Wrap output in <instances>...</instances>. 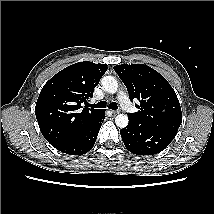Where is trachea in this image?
<instances>
[{
    "label": "trachea",
    "instance_id": "1",
    "mask_svg": "<svg viewBox=\"0 0 214 214\" xmlns=\"http://www.w3.org/2000/svg\"><path fill=\"white\" fill-rule=\"evenodd\" d=\"M90 107H92V108H105L106 103L104 101H100L97 104H90ZM108 108L116 110L118 108V106L115 102H112L108 105Z\"/></svg>",
    "mask_w": 214,
    "mask_h": 214
}]
</instances>
